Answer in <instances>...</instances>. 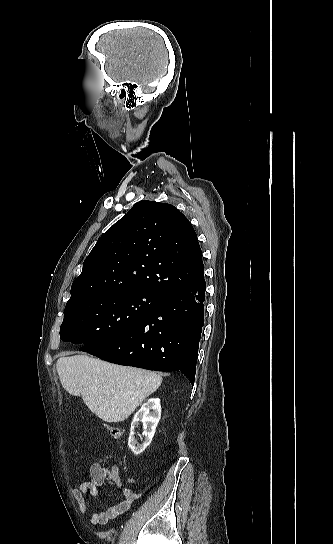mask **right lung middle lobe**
Instances as JSON below:
<instances>
[{
  "label": "right lung middle lobe",
  "instance_id": "1",
  "mask_svg": "<svg viewBox=\"0 0 333 544\" xmlns=\"http://www.w3.org/2000/svg\"><path fill=\"white\" fill-rule=\"evenodd\" d=\"M161 298L144 291L106 292L67 303L60 338L85 351L134 327Z\"/></svg>",
  "mask_w": 333,
  "mask_h": 544
}]
</instances>
